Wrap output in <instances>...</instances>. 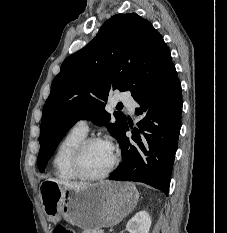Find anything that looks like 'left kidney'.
Returning a JSON list of instances; mask_svg holds the SVG:
<instances>
[{
    "label": "left kidney",
    "mask_w": 227,
    "mask_h": 233,
    "mask_svg": "<svg viewBox=\"0 0 227 233\" xmlns=\"http://www.w3.org/2000/svg\"><path fill=\"white\" fill-rule=\"evenodd\" d=\"M151 227V217L148 212H138L126 225L129 233H149Z\"/></svg>",
    "instance_id": "5707ae66"
}]
</instances>
